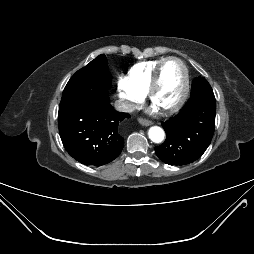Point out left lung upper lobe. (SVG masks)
<instances>
[{
  "label": "left lung upper lobe",
  "instance_id": "1",
  "mask_svg": "<svg viewBox=\"0 0 254 254\" xmlns=\"http://www.w3.org/2000/svg\"><path fill=\"white\" fill-rule=\"evenodd\" d=\"M191 101L215 100L213 90L205 78L196 77L192 82Z\"/></svg>",
  "mask_w": 254,
  "mask_h": 254
}]
</instances>
